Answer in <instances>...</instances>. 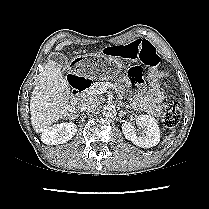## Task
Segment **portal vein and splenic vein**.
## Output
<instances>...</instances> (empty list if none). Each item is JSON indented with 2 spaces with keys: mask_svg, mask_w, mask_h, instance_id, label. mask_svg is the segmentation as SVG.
Returning <instances> with one entry per match:
<instances>
[{
  "mask_svg": "<svg viewBox=\"0 0 209 209\" xmlns=\"http://www.w3.org/2000/svg\"><path fill=\"white\" fill-rule=\"evenodd\" d=\"M116 85L110 83V82H105L103 85L99 88L98 92L99 94H103L106 92L107 89H116Z\"/></svg>",
  "mask_w": 209,
  "mask_h": 209,
  "instance_id": "1",
  "label": "portal vein and splenic vein"
}]
</instances>
